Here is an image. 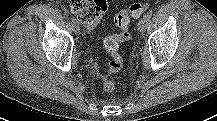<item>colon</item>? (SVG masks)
Masks as SVG:
<instances>
[{
	"mask_svg": "<svg viewBox=\"0 0 217 121\" xmlns=\"http://www.w3.org/2000/svg\"><path fill=\"white\" fill-rule=\"evenodd\" d=\"M65 5L72 13L77 15L82 23L91 28L100 24L107 10L106 0H65ZM149 7V3H133L116 15L115 23L120 32L108 36L104 40V48L111 56L108 69L110 74L117 73L122 68L123 60L119 53V43L128 41L131 38L129 32L130 17H140ZM115 89L116 81L114 79H106L103 82L105 92L110 93Z\"/></svg>",
	"mask_w": 217,
	"mask_h": 121,
	"instance_id": "colon-1",
	"label": "colon"
}]
</instances>
